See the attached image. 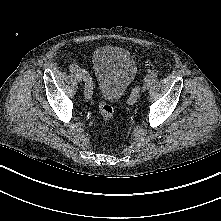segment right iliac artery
I'll return each instance as SVG.
<instances>
[{
    "mask_svg": "<svg viewBox=\"0 0 221 221\" xmlns=\"http://www.w3.org/2000/svg\"><path fill=\"white\" fill-rule=\"evenodd\" d=\"M72 73H79L83 75L84 78V96L86 99H91L93 95V81L89 74L85 71L80 69L77 65L72 64L69 67Z\"/></svg>",
    "mask_w": 221,
    "mask_h": 221,
    "instance_id": "obj_1",
    "label": "right iliac artery"
}]
</instances>
